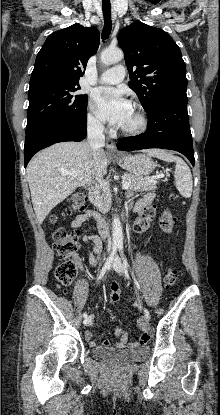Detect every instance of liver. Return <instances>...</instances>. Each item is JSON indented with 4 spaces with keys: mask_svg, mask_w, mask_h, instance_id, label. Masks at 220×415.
Returning a JSON list of instances; mask_svg holds the SVG:
<instances>
[{
    "mask_svg": "<svg viewBox=\"0 0 220 415\" xmlns=\"http://www.w3.org/2000/svg\"><path fill=\"white\" fill-rule=\"evenodd\" d=\"M108 159L103 149L93 161L88 142L56 143L34 157L26 174L31 200L39 224L50 211L71 195L78 187L101 178L107 173ZM66 172H78L76 177Z\"/></svg>",
    "mask_w": 220,
    "mask_h": 415,
    "instance_id": "obj_1",
    "label": "liver"
}]
</instances>
